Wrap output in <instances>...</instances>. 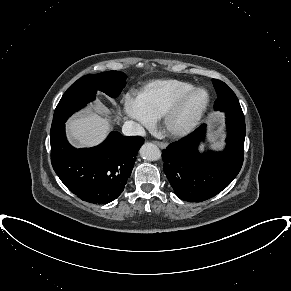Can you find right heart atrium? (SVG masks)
Masks as SVG:
<instances>
[{
	"instance_id": "d8ad5b80",
	"label": "right heart atrium",
	"mask_w": 291,
	"mask_h": 291,
	"mask_svg": "<svg viewBox=\"0 0 291 291\" xmlns=\"http://www.w3.org/2000/svg\"><path fill=\"white\" fill-rule=\"evenodd\" d=\"M124 110L128 117L138 122L143 127H150L154 120L145 112L137 98L126 96Z\"/></svg>"
}]
</instances>
